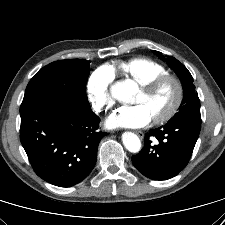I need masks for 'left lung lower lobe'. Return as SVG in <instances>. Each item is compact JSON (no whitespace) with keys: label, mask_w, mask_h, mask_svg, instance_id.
<instances>
[{"label":"left lung lower lobe","mask_w":225,"mask_h":225,"mask_svg":"<svg viewBox=\"0 0 225 225\" xmlns=\"http://www.w3.org/2000/svg\"><path fill=\"white\" fill-rule=\"evenodd\" d=\"M200 119L170 121L145 135V144L132 163L144 176L166 180L176 176L187 165L198 139ZM158 140L152 144V138Z\"/></svg>","instance_id":"0a47b994"}]
</instances>
